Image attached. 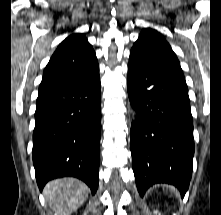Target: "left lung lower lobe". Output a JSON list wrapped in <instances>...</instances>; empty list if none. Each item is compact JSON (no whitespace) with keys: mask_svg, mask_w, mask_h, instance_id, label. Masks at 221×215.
Masks as SVG:
<instances>
[{"mask_svg":"<svg viewBox=\"0 0 221 215\" xmlns=\"http://www.w3.org/2000/svg\"><path fill=\"white\" fill-rule=\"evenodd\" d=\"M127 87L136 110L130 140L140 195L153 184L168 183L184 197L192 176L194 142L179 61L161 54L130 53Z\"/></svg>","mask_w":221,"mask_h":215,"instance_id":"left-lung-lower-lobe-1","label":"left lung lower lobe"}]
</instances>
